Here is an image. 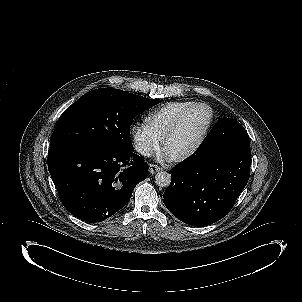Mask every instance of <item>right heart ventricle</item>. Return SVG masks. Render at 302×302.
<instances>
[{
  "mask_svg": "<svg viewBox=\"0 0 302 302\" xmlns=\"http://www.w3.org/2000/svg\"><path fill=\"white\" fill-rule=\"evenodd\" d=\"M190 103H171L152 114L147 119L148 128L158 136H165L177 117L188 107Z\"/></svg>",
  "mask_w": 302,
  "mask_h": 302,
  "instance_id": "obj_1",
  "label": "right heart ventricle"
}]
</instances>
